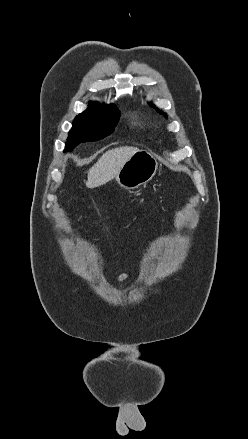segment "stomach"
Instances as JSON below:
<instances>
[{"instance_id":"obj_1","label":"stomach","mask_w":248,"mask_h":439,"mask_svg":"<svg viewBox=\"0 0 248 439\" xmlns=\"http://www.w3.org/2000/svg\"><path fill=\"white\" fill-rule=\"evenodd\" d=\"M158 162L147 150H137L124 163L115 177L116 182L125 189H136L148 183L156 174Z\"/></svg>"}]
</instances>
